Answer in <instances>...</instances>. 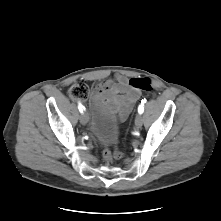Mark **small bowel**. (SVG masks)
<instances>
[{"label":"small bowel","mask_w":221,"mask_h":221,"mask_svg":"<svg viewBox=\"0 0 221 221\" xmlns=\"http://www.w3.org/2000/svg\"><path fill=\"white\" fill-rule=\"evenodd\" d=\"M93 96L106 100L115 112L119 121H124L130 114L133 105L140 98V93L129 85V80L122 74L104 79L93 87Z\"/></svg>","instance_id":"1"}]
</instances>
